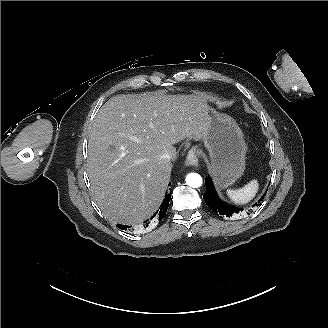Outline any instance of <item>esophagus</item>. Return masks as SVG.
<instances>
[{
	"mask_svg": "<svg viewBox=\"0 0 328 328\" xmlns=\"http://www.w3.org/2000/svg\"><path fill=\"white\" fill-rule=\"evenodd\" d=\"M185 165L188 167L198 166V157L194 149L189 150L186 156Z\"/></svg>",
	"mask_w": 328,
	"mask_h": 328,
	"instance_id": "esophagus-1",
	"label": "esophagus"
}]
</instances>
